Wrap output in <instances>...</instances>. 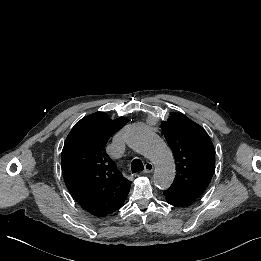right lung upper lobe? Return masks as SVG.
<instances>
[{
    "instance_id": "obj_1",
    "label": "right lung upper lobe",
    "mask_w": 261,
    "mask_h": 261,
    "mask_svg": "<svg viewBox=\"0 0 261 261\" xmlns=\"http://www.w3.org/2000/svg\"><path fill=\"white\" fill-rule=\"evenodd\" d=\"M127 123L111 120L103 112L82 118L72 128L61 155L65 184L82 208L94 216H106L124 204L131 181L123 178L106 154L105 146Z\"/></svg>"
}]
</instances>
